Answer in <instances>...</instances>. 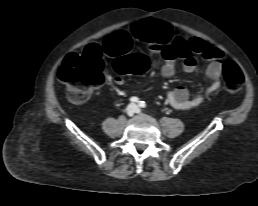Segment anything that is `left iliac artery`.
<instances>
[{"label":"left iliac artery","mask_w":258,"mask_h":206,"mask_svg":"<svg viewBox=\"0 0 258 206\" xmlns=\"http://www.w3.org/2000/svg\"><path fill=\"white\" fill-rule=\"evenodd\" d=\"M139 106L142 107V108H145L146 107V104L144 101H140L139 102Z\"/></svg>","instance_id":"1"}]
</instances>
